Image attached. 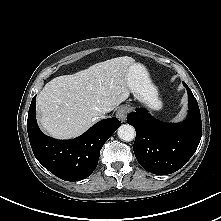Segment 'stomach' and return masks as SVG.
I'll list each match as a JSON object with an SVG mask.
<instances>
[{
	"instance_id": "1",
	"label": "stomach",
	"mask_w": 221,
	"mask_h": 221,
	"mask_svg": "<svg viewBox=\"0 0 221 221\" xmlns=\"http://www.w3.org/2000/svg\"><path fill=\"white\" fill-rule=\"evenodd\" d=\"M126 80L131 92L137 99L147 104L153 110L161 109L162 102L158 98L157 89L151 84L144 66L139 63L132 64L128 68Z\"/></svg>"
}]
</instances>
